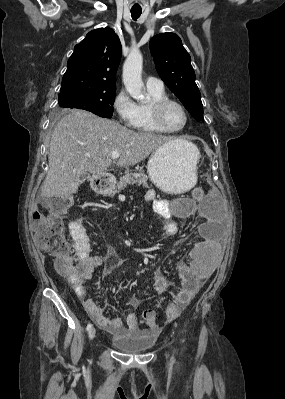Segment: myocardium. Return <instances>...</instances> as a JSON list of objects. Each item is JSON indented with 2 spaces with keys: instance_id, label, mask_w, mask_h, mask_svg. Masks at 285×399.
<instances>
[{
  "instance_id": "myocardium-1",
  "label": "myocardium",
  "mask_w": 285,
  "mask_h": 399,
  "mask_svg": "<svg viewBox=\"0 0 285 399\" xmlns=\"http://www.w3.org/2000/svg\"><path fill=\"white\" fill-rule=\"evenodd\" d=\"M176 105L179 107V109L182 111L183 116H184V123L181 127L178 128H172L170 126L167 125V123L165 122V110L167 109V107L169 105ZM151 114H152V119L154 124L161 130L165 131V132H178L181 131L188 123V114L187 111L185 109V107L183 106V104H181L179 101L171 99V98H163L161 100L155 101L152 103L151 105Z\"/></svg>"
}]
</instances>
